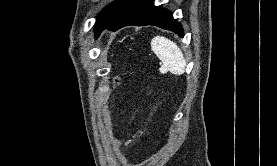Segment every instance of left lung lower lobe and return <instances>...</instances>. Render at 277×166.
Masks as SVG:
<instances>
[{
  "instance_id": "1",
  "label": "left lung lower lobe",
  "mask_w": 277,
  "mask_h": 166,
  "mask_svg": "<svg viewBox=\"0 0 277 166\" xmlns=\"http://www.w3.org/2000/svg\"><path fill=\"white\" fill-rule=\"evenodd\" d=\"M128 25H155L171 30L180 37H183L184 34L181 24L173 19L169 11L154 6L153 2L148 0H135L108 22L103 30L108 28L116 31Z\"/></svg>"
}]
</instances>
